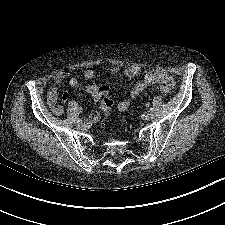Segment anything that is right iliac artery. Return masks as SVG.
Wrapping results in <instances>:
<instances>
[{
    "label": "right iliac artery",
    "instance_id": "right-iliac-artery-1",
    "mask_svg": "<svg viewBox=\"0 0 225 225\" xmlns=\"http://www.w3.org/2000/svg\"><path fill=\"white\" fill-rule=\"evenodd\" d=\"M80 121H82V120H81V119H79V118H78V119H76V122H77V123H78V122H80Z\"/></svg>",
    "mask_w": 225,
    "mask_h": 225
}]
</instances>
